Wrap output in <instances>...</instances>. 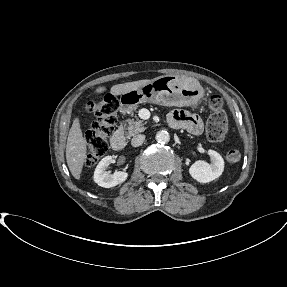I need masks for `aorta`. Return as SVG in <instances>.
<instances>
[{"label": "aorta", "mask_w": 287, "mask_h": 287, "mask_svg": "<svg viewBox=\"0 0 287 287\" xmlns=\"http://www.w3.org/2000/svg\"><path fill=\"white\" fill-rule=\"evenodd\" d=\"M155 139L158 143L165 144L170 141V135L167 131H159L157 132Z\"/></svg>", "instance_id": "aorta-1"}]
</instances>
